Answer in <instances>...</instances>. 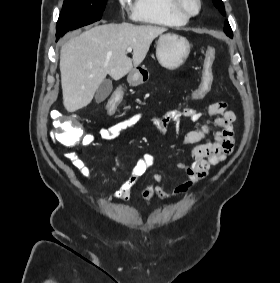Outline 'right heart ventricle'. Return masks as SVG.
<instances>
[{"mask_svg": "<svg viewBox=\"0 0 280 283\" xmlns=\"http://www.w3.org/2000/svg\"><path fill=\"white\" fill-rule=\"evenodd\" d=\"M132 18L166 27H179L188 22V17L174 8L172 0H134Z\"/></svg>", "mask_w": 280, "mask_h": 283, "instance_id": "obj_1", "label": "right heart ventricle"}]
</instances>
